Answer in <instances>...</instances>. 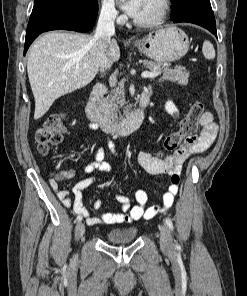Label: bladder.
Segmentation results:
<instances>
[{"instance_id": "31cf9c89", "label": "bladder", "mask_w": 247, "mask_h": 296, "mask_svg": "<svg viewBox=\"0 0 247 296\" xmlns=\"http://www.w3.org/2000/svg\"><path fill=\"white\" fill-rule=\"evenodd\" d=\"M137 231L138 229L135 226L114 228L107 233V241L113 244L132 242L136 237Z\"/></svg>"}]
</instances>
